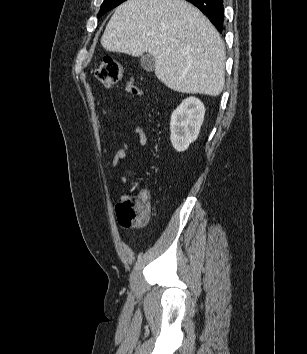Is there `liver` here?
I'll return each instance as SVG.
<instances>
[{
	"mask_svg": "<svg viewBox=\"0 0 307 354\" xmlns=\"http://www.w3.org/2000/svg\"><path fill=\"white\" fill-rule=\"evenodd\" d=\"M106 51L155 59V75L182 93L217 96L225 83L224 43L196 7L184 0H127L109 20Z\"/></svg>",
	"mask_w": 307,
	"mask_h": 354,
	"instance_id": "obj_1",
	"label": "liver"
}]
</instances>
